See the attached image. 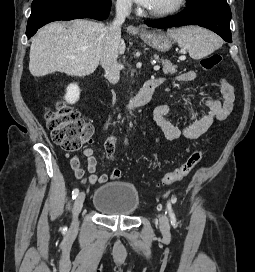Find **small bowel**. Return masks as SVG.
<instances>
[{
	"instance_id": "obj_1",
	"label": "small bowel",
	"mask_w": 255,
	"mask_h": 272,
	"mask_svg": "<svg viewBox=\"0 0 255 272\" xmlns=\"http://www.w3.org/2000/svg\"><path fill=\"white\" fill-rule=\"evenodd\" d=\"M196 73L192 70L178 74L175 79L182 83H189L196 79ZM160 83L163 78H157ZM220 89V97L207 98L204 101L205 111L194 113L189 123L186 126L178 127L174 125L170 117L172 116V108L169 105L163 104L155 107L153 111V120L159 127L162 136L168 141L177 140L180 137L187 139H197L201 137L210 128L214 120H225L233 110L235 103V91L232 84L225 78H220L218 81ZM160 136L156 137L155 141L159 142ZM119 138L117 136H109L104 142V149L108 159L113 160L116 150V145ZM129 143L128 140L125 141ZM86 159V167L78 155H70L71 167L77 179L86 182L87 178L85 171L91 175L88 178L90 184H104L109 180L108 174H96L97 159L94 156L93 150L86 147L82 152Z\"/></svg>"
}]
</instances>
